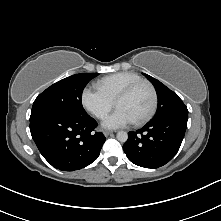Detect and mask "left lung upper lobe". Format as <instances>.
<instances>
[{
    "mask_svg": "<svg viewBox=\"0 0 221 221\" xmlns=\"http://www.w3.org/2000/svg\"><path fill=\"white\" fill-rule=\"evenodd\" d=\"M144 75L154 85L158 96L157 112L151 121H158L171 115L188 114L187 107L175 92L157 79L147 74Z\"/></svg>",
    "mask_w": 221,
    "mask_h": 221,
    "instance_id": "5c2ea615",
    "label": "left lung upper lobe"
}]
</instances>
